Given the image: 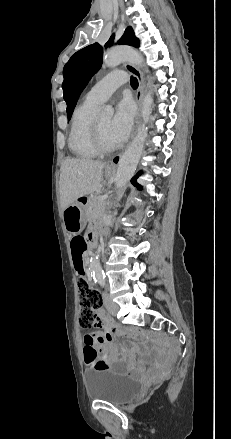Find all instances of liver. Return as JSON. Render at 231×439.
I'll list each match as a JSON object with an SVG mask.
<instances>
[{
	"label": "liver",
	"instance_id": "liver-1",
	"mask_svg": "<svg viewBox=\"0 0 231 439\" xmlns=\"http://www.w3.org/2000/svg\"><path fill=\"white\" fill-rule=\"evenodd\" d=\"M105 162L90 159H66L60 173V200L63 209L81 196L100 188Z\"/></svg>",
	"mask_w": 231,
	"mask_h": 439
}]
</instances>
